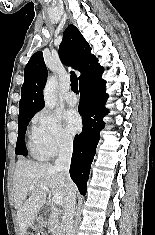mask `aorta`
<instances>
[{
    "instance_id": "762f6f07",
    "label": "aorta",
    "mask_w": 155,
    "mask_h": 235,
    "mask_svg": "<svg viewBox=\"0 0 155 235\" xmlns=\"http://www.w3.org/2000/svg\"><path fill=\"white\" fill-rule=\"evenodd\" d=\"M58 86L56 76H51L48 78L45 88H44V101L45 105L49 109H53L57 102L56 89Z\"/></svg>"
}]
</instances>
